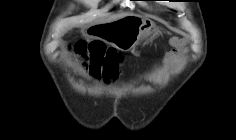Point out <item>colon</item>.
I'll return each mask as SVG.
<instances>
[{"mask_svg":"<svg viewBox=\"0 0 236 140\" xmlns=\"http://www.w3.org/2000/svg\"><path fill=\"white\" fill-rule=\"evenodd\" d=\"M74 50L77 54L91 60L90 66L93 70L103 71V74L109 77L118 74L116 63L119 55L114 49L107 48L103 42L80 40L74 45Z\"/></svg>","mask_w":236,"mask_h":140,"instance_id":"1","label":"colon"}]
</instances>
